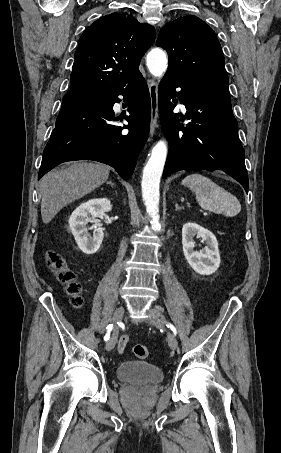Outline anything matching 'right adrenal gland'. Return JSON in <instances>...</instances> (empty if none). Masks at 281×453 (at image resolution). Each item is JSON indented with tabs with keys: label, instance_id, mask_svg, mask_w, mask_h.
<instances>
[{
	"label": "right adrenal gland",
	"instance_id": "1",
	"mask_svg": "<svg viewBox=\"0 0 281 453\" xmlns=\"http://www.w3.org/2000/svg\"><path fill=\"white\" fill-rule=\"evenodd\" d=\"M106 184H111V186H114V182H112V180H108V182H106Z\"/></svg>",
	"mask_w": 281,
	"mask_h": 453
}]
</instances>
